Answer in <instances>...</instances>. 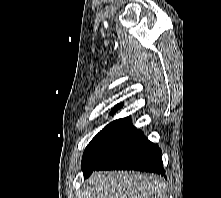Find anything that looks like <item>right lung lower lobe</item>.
Instances as JSON below:
<instances>
[{"label": "right lung lower lobe", "instance_id": "1", "mask_svg": "<svg viewBox=\"0 0 221 198\" xmlns=\"http://www.w3.org/2000/svg\"><path fill=\"white\" fill-rule=\"evenodd\" d=\"M109 169H131L165 175L161 150L141 131L103 164L84 174V177L87 178L93 171Z\"/></svg>", "mask_w": 221, "mask_h": 198}]
</instances>
